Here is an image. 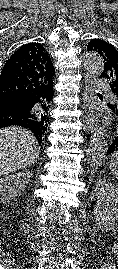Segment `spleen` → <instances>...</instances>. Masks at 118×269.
Instances as JSON below:
<instances>
[{"instance_id":"1","label":"spleen","mask_w":118,"mask_h":269,"mask_svg":"<svg viewBox=\"0 0 118 269\" xmlns=\"http://www.w3.org/2000/svg\"><path fill=\"white\" fill-rule=\"evenodd\" d=\"M109 167L112 175L118 179V151L112 154Z\"/></svg>"}]
</instances>
